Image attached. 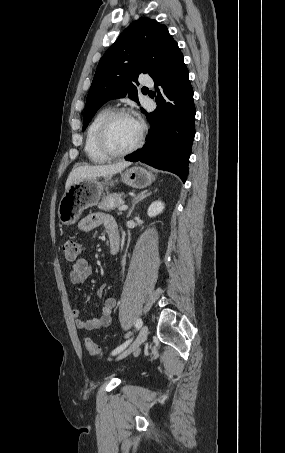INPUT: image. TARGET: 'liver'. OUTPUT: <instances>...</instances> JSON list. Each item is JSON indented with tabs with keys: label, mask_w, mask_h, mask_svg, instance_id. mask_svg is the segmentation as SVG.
Listing matches in <instances>:
<instances>
[{
	"label": "liver",
	"mask_w": 285,
	"mask_h": 453,
	"mask_svg": "<svg viewBox=\"0 0 285 453\" xmlns=\"http://www.w3.org/2000/svg\"><path fill=\"white\" fill-rule=\"evenodd\" d=\"M130 165L131 162L124 161L110 165L79 166L70 172L66 181L65 189L67 190L70 185L76 181L112 176L113 174L121 172Z\"/></svg>",
	"instance_id": "obj_1"
}]
</instances>
